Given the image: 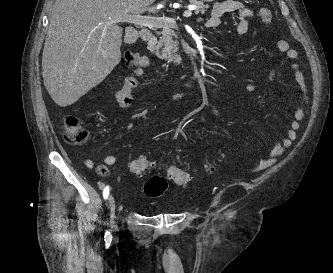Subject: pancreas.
Here are the masks:
<instances>
[{
    "instance_id": "cf45deb5",
    "label": "pancreas",
    "mask_w": 333,
    "mask_h": 273,
    "mask_svg": "<svg viewBox=\"0 0 333 273\" xmlns=\"http://www.w3.org/2000/svg\"><path fill=\"white\" fill-rule=\"evenodd\" d=\"M190 3L196 6L195 13H204L208 8L201 1L197 0H190ZM174 29H177L176 24L174 26H169L165 28L161 34L156 47H155V54L164 60H168V62H174L177 64L181 63V57H179L176 53L178 51V41L175 39L177 38ZM175 37V38H174ZM159 49H162L159 51Z\"/></svg>"
}]
</instances>
